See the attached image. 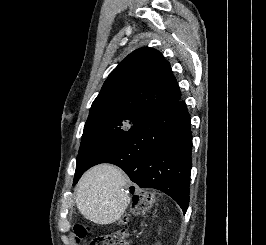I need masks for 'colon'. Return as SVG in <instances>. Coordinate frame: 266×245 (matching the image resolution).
<instances>
[{
  "instance_id": "5ec220e1",
  "label": "colon",
  "mask_w": 266,
  "mask_h": 245,
  "mask_svg": "<svg viewBox=\"0 0 266 245\" xmlns=\"http://www.w3.org/2000/svg\"><path fill=\"white\" fill-rule=\"evenodd\" d=\"M152 205V199L150 194L139 196L136 195L132 200V210L136 212L138 210L144 212ZM89 233L87 227H77L76 228V239H82ZM90 245H130L127 240V234L125 232H120L117 234H101L92 238Z\"/></svg>"
}]
</instances>
